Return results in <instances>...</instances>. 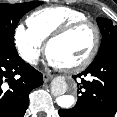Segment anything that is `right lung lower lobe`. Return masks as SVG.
Returning a JSON list of instances; mask_svg holds the SVG:
<instances>
[{"label":"right lung lower lobe","mask_w":117,"mask_h":117,"mask_svg":"<svg viewBox=\"0 0 117 117\" xmlns=\"http://www.w3.org/2000/svg\"><path fill=\"white\" fill-rule=\"evenodd\" d=\"M42 84V74L16 50L0 46V117H23L30 91Z\"/></svg>","instance_id":"1"}]
</instances>
